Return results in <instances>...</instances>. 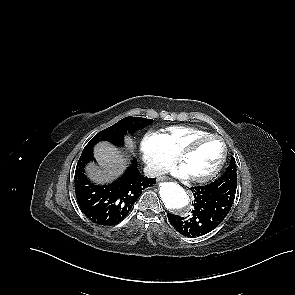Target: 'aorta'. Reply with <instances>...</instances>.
I'll return each mask as SVG.
<instances>
[{
  "label": "aorta",
  "instance_id": "obj_1",
  "mask_svg": "<svg viewBox=\"0 0 295 295\" xmlns=\"http://www.w3.org/2000/svg\"><path fill=\"white\" fill-rule=\"evenodd\" d=\"M159 193L165 207L171 210H182L190 202L186 191L174 182L161 183Z\"/></svg>",
  "mask_w": 295,
  "mask_h": 295
}]
</instances>
